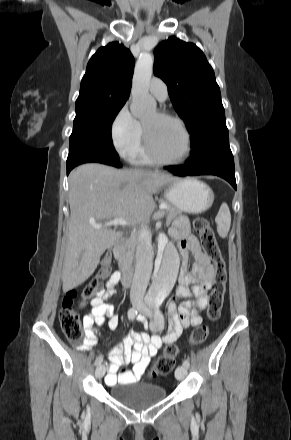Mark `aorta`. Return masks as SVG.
Returning a JSON list of instances; mask_svg holds the SVG:
<instances>
[{
  "label": "aorta",
  "instance_id": "1",
  "mask_svg": "<svg viewBox=\"0 0 291 440\" xmlns=\"http://www.w3.org/2000/svg\"><path fill=\"white\" fill-rule=\"evenodd\" d=\"M154 58L149 53H141L134 70L132 84L131 113L142 119L156 110V101L149 94V84L153 73ZM158 266L148 294L150 304H159L171 291L178 268V253L172 242L162 238L158 243Z\"/></svg>",
  "mask_w": 291,
  "mask_h": 440
}]
</instances>
